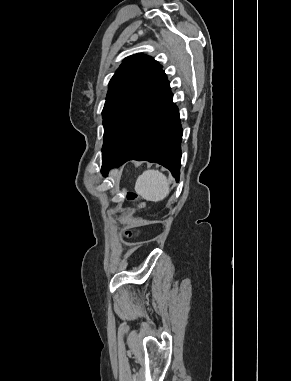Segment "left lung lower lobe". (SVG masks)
<instances>
[{"mask_svg":"<svg viewBox=\"0 0 291 381\" xmlns=\"http://www.w3.org/2000/svg\"><path fill=\"white\" fill-rule=\"evenodd\" d=\"M181 140L180 117L168 83L146 104L123 138L102 161L101 172L106 176L111 167L128 160H147L168 168L178 181Z\"/></svg>","mask_w":291,"mask_h":381,"instance_id":"left-lung-lower-lobe-1","label":"left lung lower lobe"}]
</instances>
